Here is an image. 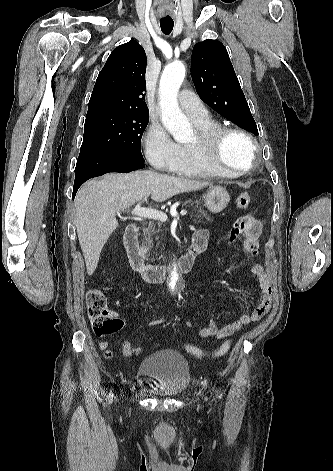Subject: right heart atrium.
Returning <instances> with one entry per match:
<instances>
[{
  "label": "right heart atrium",
  "instance_id": "1",
  "mask_svg": "<svg viewBox=\"0 0 333 471\" xmlns=\"http://www.w3.org/2000/svg\"><path fill=\"white\" fill-rule=\"evenodd\" d=\"M142 144L147 160L157 170L170 171L178 161L180 146L158 122L148 126Z\"/></svg>",
  "mask_w": 333,
  "mask_h": 471
}]
</instances>
